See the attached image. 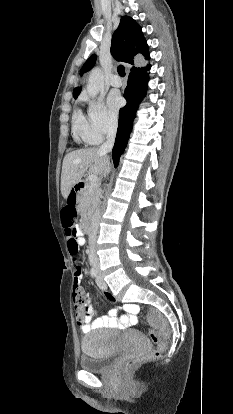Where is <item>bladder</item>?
<instances>
[{
    "mask_svg": "<svg viewBox=\"0 0 233 414\" xmlns=\"http://www.w3.org/2000/svg\"><path fill=\"white\" fill-rule=\"evenodd\" d=\"M137 341L146 348V338L136 331H132ZM83 354L79 360L82 370L88 372H102L108 370L119 356L121 350L115 344L113 333L104 330L89 332L82 341Z\"/></svg>",
    "mask_w": 233,
    "mask_h": 414,
    "instance_id": "31cf9c89",
    "label": "bladder"
}]
</instances>
